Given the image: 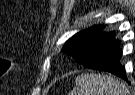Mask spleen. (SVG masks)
<instances>
[{
  "label": "spleen",
  "instance_id": "obj_1",
  "mask_svg": "<svg viewBox=\"0 0 135 95\" xmlns=\"http://www.w3.org/2000/svg\"><path fill=\"white\" fill-rule=\"evenodd\" d=\"M70 95H130L126 85L101 74H81L76 78V88Z\"/></svg>",
  "mask_w": 135,
  "mask_h": 95
}]
</instances>
